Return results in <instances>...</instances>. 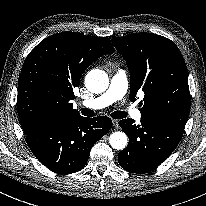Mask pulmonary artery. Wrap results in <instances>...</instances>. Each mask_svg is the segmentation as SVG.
Instances as JSON below:
<instances>
[{
	"label": "pulmonary artery",
	"instance_id": "1",
	"mask_svg": "<svg viewBox=\"0 0 206 206\" xmlns=\"http://www.w3.org/2000/svg\"><path fill=\"white\" fill-rule=\"evenodd\" d=\"M128 89V81L125 71L118 70L112 77L109 87L101 96L82 103L84 107L90 109L106 108L112 103L121 100ZM129 114L137 121L141 119V113L137 109L131 108Z\"/></svg>",
	"mask_w": 206,
	"mask_h": 206
}]
</instances>
